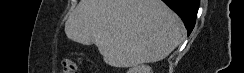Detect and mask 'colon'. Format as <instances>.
<instances>
[{
	"mask_svg": "<svg viewBox=\"0 0 244 73\" xmlns=\"http://www.w3.org/2000/svg\"><path fill=\"white\" fill-rule=\"evenodd\" d=\"M78 63H79V60L65 59L63 61V67L65 70V73H75Z\"/></svg>",
	"mask_w": 244,
	"mask_h": 73,
	"instance_id": "obj_1",
	"label": "colon"
}]
</instances>
